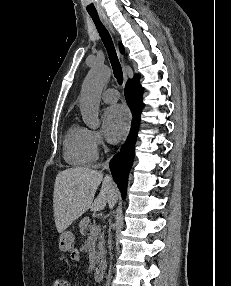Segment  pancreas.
<instances>
[{"mask_svg":"<svg viewBox=\"0 0 231 286\" xmlns=\"http://www.w3.org/2000/svg\"><path fill=\"white\" fill-rule=\"evenodd\" d=\"M93 226L95 225L91 223V220L89 217H84L79 223L80 233L82 235H88L89 237H92L94 240H97V239L99 240L98 245H97L99 251L96 252V256H95L96 263H98L104 253V244H105L104 232L101 233V229L96 226V230L94 234H92L91 228Z\"/></svg>","mask_w":231,"mask_h":286,"instance_id":"pancreas-1","label":"pancreas"}]
</instances>
